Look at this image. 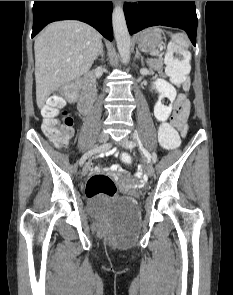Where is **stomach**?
<instances>
[{
    "label": "stomach",
    "instance_id": "1",
    "mask_svg": "<svg viewBox=\"0 0 233 295\" xmlns=\"http://www.w3.org/2000/svg\"><path fill=\"white\" fill-rule=\"evenodd\" d=\"M161 41V34L153 30H146L137 37L138 48L142 52L155 50L161 44Z\"/></svg>",
    "mask_w": 233,
    "mask_h": 295
}]
</instances>
